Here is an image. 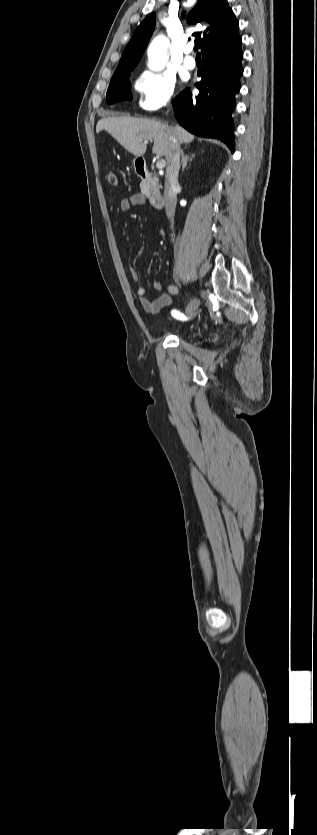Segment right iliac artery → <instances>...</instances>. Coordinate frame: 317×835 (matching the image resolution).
<instances>
[{"label": "right iliac artery", "instance_id": "82829eb1", "mask_svg": "<svg viewBox=\"0 0 317 835\" xmlns=\"http://www.w3.org/2000/svg\"><path fill=\"white\" fill-rule=\"evenodd\" d=\"M171 314H172V316H174L176 318H179V319H183V320L188 319V317H186L183 313H180L177 310H172Z\"/></svg>", "mask_w": 317, "mask_h": 835}]
</instances>
